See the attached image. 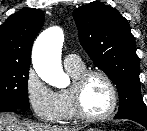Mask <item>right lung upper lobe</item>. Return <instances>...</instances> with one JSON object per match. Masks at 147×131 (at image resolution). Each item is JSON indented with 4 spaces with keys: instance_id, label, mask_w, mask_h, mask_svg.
I'll list each match as a JSON object with an SVG mask.
<instances>
[{
    "instance_id": "right-lung-upper-lobe-1",
    "label": "right lung upper lobe",
    "mask_w": 147,
    "mask_h": 131,
    "mask_svg": "<svg viewBox=\"0 0 147 131\" xmlns=\"http://www.w3.org/2000/svg\"><path fill=\"white\" fill-rule=\"evenodd\" d=\"M44 24V13L25 8L0 25V63L30 66L31 49Z\"/></svg>"
}]
</instances>
